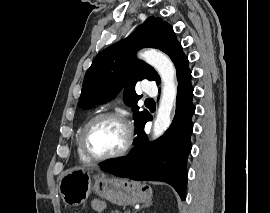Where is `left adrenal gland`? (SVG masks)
I'll list each match as a JSON object with an SVG mask.
<instances>
[{
    "instance_id": "a2214340",
    "label": "left adrenal gland",
    "mask_w": 270,
    "mask_h": 213,
    "mask_svg": "<svg viewBox=\"0 0 270 213\" xmlns=\"http://www.w3.org/2000/svg\"><path fill=\"white\" fill-rule=\"evenodd\" d=\"M151 203L150 202H147L146 204H144L141 208H145V207H148Z\"/></svg>"
}]
</instances>
